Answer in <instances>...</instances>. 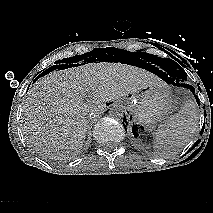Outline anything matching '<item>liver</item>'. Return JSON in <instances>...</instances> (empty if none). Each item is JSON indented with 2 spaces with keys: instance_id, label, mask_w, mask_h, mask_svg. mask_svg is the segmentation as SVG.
<instances>
[{
  "instance_id": "6515ba94",
  "label": "liver",
  "mask_w": 213,
  "mask_h": 213,
  "mask_svg": "<svg viewBox=\"0 0 213 213\" xmlns=\"http://www.w3.org/2000/svg\"><path fill=\"white\" fill-rule=\"evenodd\" d=\"M162 85L151 72L121 63H88L39 78L23 104L27 143L42 157L65 160L83 147L88 115L106 103Z\"/></svg>"
}]
</instances>
